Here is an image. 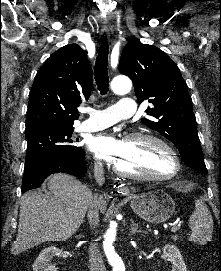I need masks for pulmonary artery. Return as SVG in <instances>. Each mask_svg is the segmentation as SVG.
Masks as SVG:
<instances>
[{
	"label": "pulmonary artery",
	"instance_id": "obj_1",
	"mask_svg": "<svg viewBox=\"0 0 221 271\" xmlns=\"http://www.w3.org/2000/svg\"><path fill=\"white\" fill-rule=\"evenodd\" d=\"M118 106L108 107V112H89L88 121H81L82 130L96 132L114 126V122H124V117H135L136 103L131 98H120Z\"/></svg>",
	"mask_w": 221,
	"mask_h": 271
}]
</instances>
